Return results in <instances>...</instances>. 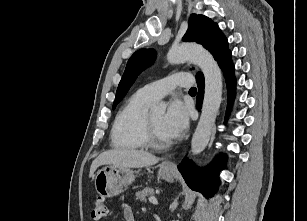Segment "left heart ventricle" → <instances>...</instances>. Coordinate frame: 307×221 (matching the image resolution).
I'll return each instance as SVG.
<instances>
[{"label":"left heart ventricle","instance_id":"1","mask_svg":"<svg viewBox=\"0 0 307 221\" xmlns=\"http://www.w3.org/2000/svg\"><path fill=\"white\" fill-rule=\"evenodd\" d=\"M164 116H165L164 112L151 113V118L153 121V125L155 127L156 135L160 141L169 140L163 128Z\"/></svg>","mask_w":307,"mask_h":221}]
</instances>
